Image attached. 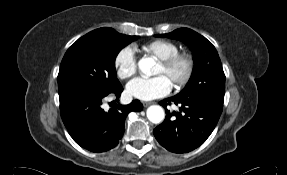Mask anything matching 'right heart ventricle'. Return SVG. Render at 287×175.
<instances>
[{
	"label": "right heart ventricle",
	"mask_w": 287,
	"mask_h": 175,
	"mask_svg": "<svg viewBox=\"0 0 287 175\" xmlns=\"http://www.w3.org/2000/svg\"><path fill=\"white\" fill-rule=\"evenodd\" d=\"M142 49L149 55L163 59L172 56L180 51V47L173 41L158 39L146 43Z\"/></svg>",
	"instance_id": "e07e8e85"
}]
</instances>
